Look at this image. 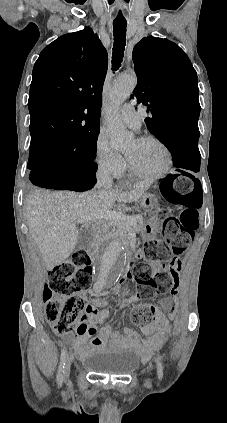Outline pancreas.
<instances>
[{
  "label": "pancreas",
  "instance_id": "1",
  "mask_svg": "<svg viewBox=\"0 0 227 423\" xmlns=\"http://www.w3.org/2000/svg\"><path fill=\"white\" fill-rule=\"evenodd\" d=\"M135 217L134 223H129V225H123L119 221H107V219H101L97 223V231L101 237H127L129 231H140L142 229L143 215L137 213V215H132Z\"/></svg>",
  "mask_w": 227,
  "mask_h": 423
}]
</instances>
